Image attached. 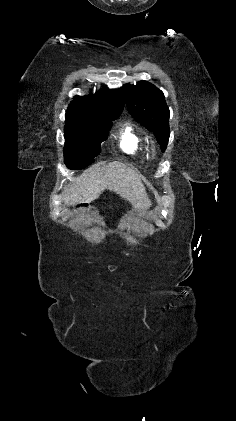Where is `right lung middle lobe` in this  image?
<instances>
[{
  "label": "right lung middle lobe",
  "mask_w": 236,
  "mask_h": 421,
  "mask_svg": "<svg viewBox=\"0 0 236 421\" xmlns=\"http://www.w3.org/2000/svg\"><path fill=\"white\" fill-rule=\"evenodd\" d=\"M122 110L92 107L72 108L66 113L64 162L68 168L82 169L94 162L101 142L108 137L112 121Z\"/></svg>",
  "instance_id": "right-lung-middle-lobe-1"
}]
</instances>
